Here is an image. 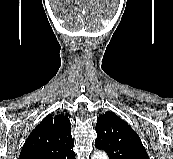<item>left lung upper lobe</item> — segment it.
<instances>
[{
    "label": "left lung upper lobe",
    "instance_id": "5c2ea615",
    "mask_svg": "<svg viewBox=\"0 0 173 159\" xmlns=\"http://www.w3.org/2000/svg\"><path fill=\"white\" fill-rule=\"evenodd\" d=\"M95 147L105 150L109 159H149L136 132L115 113L99 116Z\"/></svg>",
    "mask_w": 173,
    "mask_h": 159
}]
</instances>
